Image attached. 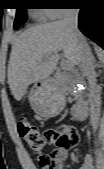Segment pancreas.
<instances>
[{
	"label": "pancreas",
	"instance_id": "obj_1",
	"mask_svg": "<svg viewBox=\"0 0 104 169\" xmlns=\"http://www.w3.org/2000/svg\"><path fill=\"white\" fill-rule=\"evenodd\" d=\"M75 73H70V72H65L62 76H61V82L62 84L68 85L70 83H72V76ZM81 100V97L78 98V101Z\"/></svg>",
	"mask_w": 104,
	"mask_h": 169
}]
</instances>
